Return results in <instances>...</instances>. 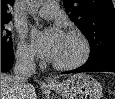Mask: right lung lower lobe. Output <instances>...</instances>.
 <instances>
[{
	"instance_id": "1",
	"label": "right lung lower lobe",
	"mask_w": 115,
	"mask_h": 99,
	"mask_svg": "<svg viewBox=\"0 0 115 99\" xmlns=\"http://www.w3.org/2000/svg\"><path fill=\"white\" fill-rule=\"evenodd\" d=\"M14 63V54H1V72H8Z\"/></svg>"
}]
</instances>
